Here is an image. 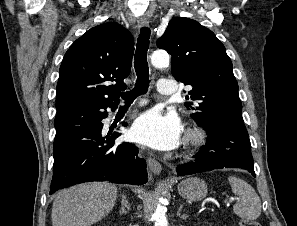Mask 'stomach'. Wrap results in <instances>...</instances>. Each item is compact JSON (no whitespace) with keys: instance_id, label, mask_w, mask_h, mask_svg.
<instances>
[{"instance_id":"obj_1","label":"stomach","mask_w":297,"mask_h":226,"mask_svg":"<svg viewBox=\"0 0 297 226\" xmlns=\"http://www.w3.org/2000/svg\"><path fill=\"white\" fill-rule=\"evenodd\" d=\"M179 195L191 201H199L207 195V184L200 178L190 177L178 184Z\"/></svg>"}]
</instances>
